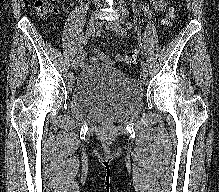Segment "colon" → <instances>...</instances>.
Listing matches in <instances>:
<instances>
[{
    "mask_svg": "<svg viewBox=\"0 0 219 192\" xmlns=\"http://www.w3.org/2000/svg\"><path fill=\"white\" fill-rule=\"evenodd\" d=\"M34 9L37 15L43 18L49 17L55 12V7L50 2V0H35ZM174 19H175L174 11L173 9H170L165 18V25L171 26L172 23L174 22ZM100 59L107 63L112 62L111 58H109L106 55H102ZM121 60L125 64H135L138 60V53L135 50L127 51L122 55Z\"/></svg>",
    "mask_w": 219,
    "mask_h": 192,
    "instance_id": "colon-1",
    "label": "colon"
}]
</instances>
